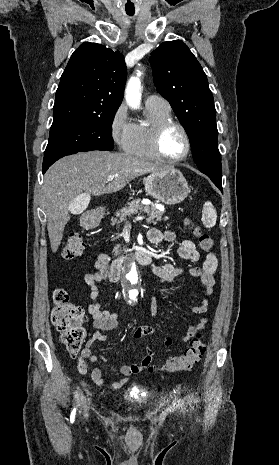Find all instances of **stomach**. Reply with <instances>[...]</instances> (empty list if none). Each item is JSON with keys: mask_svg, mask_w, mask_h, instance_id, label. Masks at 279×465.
I'll list each match as a JSON object with an SVG mask.
<instances>
[{"mask_svg": "<svg viewBox=\"0 0 279 465\" xmlns=\"http://www.w3.org/2000/svg\"><path fill=\"white\" fill-rule=\"evenodd\" d=\"M144 186L148 195L166 205L182 202L189 193L188 183L183 174L173 167L153 172L144 179ZM104 210L100 207L87 214L82 225L88 228L98 226L104 215Z\"/></svg>", "mask_w": 279, "mask_h": 465, "instance_id": "0dacf381", "label": "stomach"}]
</instances>
